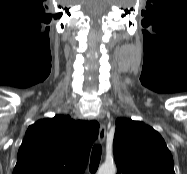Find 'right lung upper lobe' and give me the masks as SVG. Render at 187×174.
<instances>
[{
    "instance_id": "1",
    "label": "right lung upper lobe",
    "mask_w": 187,
    "mask_h": 174,
    "mask_svg": "<svg viewBox=\"0 0 187 174\" xmlns=\"http://www.w3.org/2000/svg\"><path fill=\"white\" fill-rule=\"evenodd\" d=\"M97 122L56 115L29 126L13 174H83L97 138Z\"/></svg>"
}]
</instances>
